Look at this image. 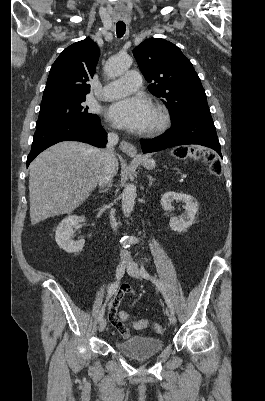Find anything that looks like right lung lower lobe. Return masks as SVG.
I'll return each instance as SVG.
<instances>
[{"label":"right lung lower lobe","instance_id":"obj_1","mask_svg":"<svg viewBox=\"0 0 265 401\" xmlns=\"http://www.w3.org/2000/svg\"><path fill=\"white\" fill-rule=\"evenodd\" d=\"M61 141H81L104 147L107 142V133L100 123L69 121L36 126L27 166L43 150Z\"/></svg>","mask_w":265,"mask_h":401}]
</instances>
